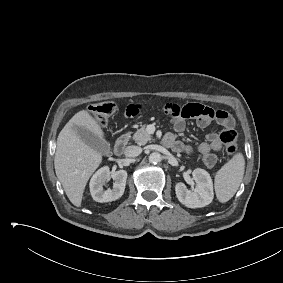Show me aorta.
<instances>
[{
  "label": "aorta",
  "mask_w": 283,
  "mask_h": 283,
  "mask_svg": "<svg viewBox=\"0 0 283 283\" xmlns=\"http://www.w3.org/2000/svg\"><path fill=\"white\" fill-rule=\"evenodd\" d=\"M162 160V156L158 152H153L149 155V162L153 164H157Z\"/></svg>",
  "instance_id": "1"
}]
</instances>
